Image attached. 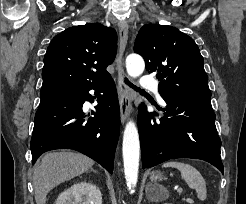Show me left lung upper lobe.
<instances>
[{
    "instance_id": "5c2ea615",
    "label": "left lung upper lobe",
    "mask_w": 246,
    "mask_h": 204,
    "mask_svg": "<svg viewBox=\"0 0 246 204\" xmlns=\"http://www.w3.org/2000/svg\"><path fill=\"white\" fill-rule=\"evenodd\" d=\"M134 52L144 58L148 72L157 73L160 94L211 95L198 46L177 28L144 25L136 37Z\"/></svg>"
}]
</instances>
